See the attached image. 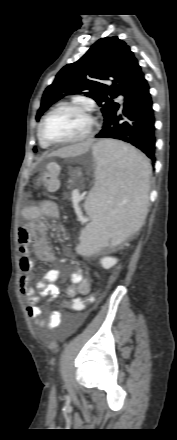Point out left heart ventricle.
Returning <instances> with one entry per match:
<instances>
[{"label":"left heart ventricle","instance_id":"1","mask_svg":"<svg viewBox=\"0 0 177 440\" xmlns=\"http://www.w3.org/2000/svg\"><path fill=\"white\" fill-rule=\"evenodd\" d=\"M91 125L88 115L80 110L65 109L54 114L46 123L45 136L54 141L76 139Z\"/></svg>","mask_w":177,"mask_h":440}]
</instances>
